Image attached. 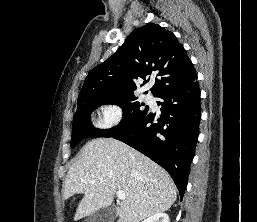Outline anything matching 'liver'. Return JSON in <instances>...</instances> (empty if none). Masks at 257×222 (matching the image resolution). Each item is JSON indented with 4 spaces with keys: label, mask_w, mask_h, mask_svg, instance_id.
Wrapping results in <instances>:
<instances>
[{
    "label": "liver",
    "mask_w": 257,
    "mask_h": 222,
    "mask_svg": "<svg viewBox=\"0 0 257 222\" xmlns=\"http://www.w3.org/2000/svg\"><path fill=\"white\" fill-rule=\"evenodd\" d=\"M64 183L65 200L84 194L75 221L108 207L119 190L125 193L116 207V215L122 222H140L167 211L177 198L176 186L163 168L112 138L86 143Z\"/></svg>",
    "instance_id": "obj_1"
}]
</instances>
